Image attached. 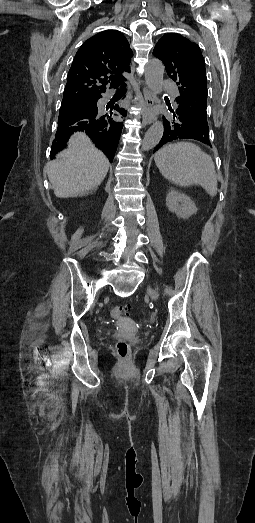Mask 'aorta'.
<instances>
[{
    "instance_id": "aorta-1",
    "label": "aorta",
    "mask_w": 255,
    "mask_h": 523,
    "mask_svg": "<svg viewBox=\"0 0 255 523\" xmlns=\"http://www.w3.org/2000/svg\"><path fill=\"white\" fill-rule=\"evenodd\" d=\"M164 65L158 59H151L145 67V80L154 94H160L163 88ZM164 126L162 121H156L146 132L142 149L149 151L153 149L163 136Z\"/></svg>"
}]
</instances>
